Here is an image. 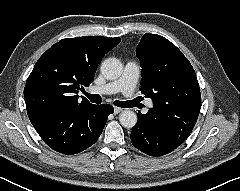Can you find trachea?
I'll list each match as a JSON object with an SVG mask.
<instances>
[{
    "mask_svg": "<svg viewBox=\"0 0 240 191\" xmlns=\"http://www.w3.org/2000/svg\"><path fill=\"white\" fill-rule=\"evenodd\" d=\"M84 94L92 103L99 104V103L102 102V98L98 94H89V93H86V92ZM114 105L118 106V107H121V108H130L132 106V102L131 101L116 100V101H114Z\"/></svg>",
    "mask_w": 240,
    "mask_h": 191,
    "instance_id": "3493384b",
    "label": "trachea"
}]
</instances>
